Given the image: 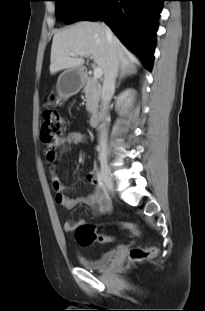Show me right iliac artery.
<instances>
[{
  "label": "right iliac artery",
  "instance_id": "82829eb1",
  "mask_svg": "<svg viewBox=\"0 0 205 311\" xmlns=\"http://www.w3.org/2000/svg\"><path fill=\"white\" fill-rule=\"evenodd\" d=\"M97 178H98V180H99V185H100V187L103 188L104 185H103L102 171L98 170V172H97Z\"/></svg>",
  "mask_w": 205,
  "mask_h": 311
}]
</instances>
